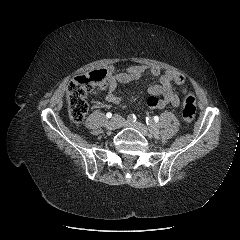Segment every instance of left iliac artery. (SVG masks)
<instances>
[{
    "mask_svg": "<svg viewBox=\"0 0 240 240\" xmlns=\"http://www.w3.org/2000/svg\"><path fill=\"white\" fill-rule=\"evenodd\" d=\"M145 121H146V124H147V126L149 128V131L151 133H153L154 135H157L158 134V129H157V126H156V124L154 122V118L151 119L150 117H146Z\"/></svg>",
    "mask_w": 240,
    "mask_h": 240,
    "instance_id": "1",
    "label": "left iliac artery"
}]
</instances>
